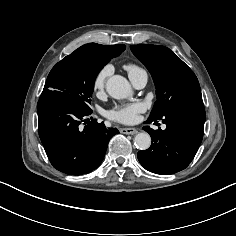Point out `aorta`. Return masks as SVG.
I'll use <instances>...</instances> for the list:
<instances>
[{"mask_svg": "<svg viewBox=\"0 0 236 236\" xmlns=\"http://www.w3.org/2000/svg\"><path fill=\"white\" fill-rule=\"evenodd\" d=\"M106 90L115 99H124L132 95V88L128 80L121 75H114L107 80ZM135 146L146 150L151 145V137L147 132H140L134 138Z\"/></svg>", "mask_w": 236, "mask_h": 236, "instance_id": "762f6f07", "label": "aorta"}]
</instances>
